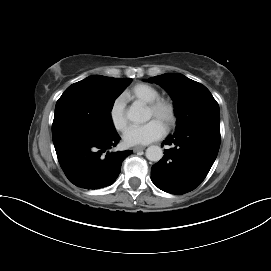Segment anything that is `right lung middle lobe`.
Listing matches in <instances>:
<instances>
[{
	"label": "right lung middle lobe",
	"instance_id": "right-lung-middle-lobe-1",
	"mask_svg": "<svg viewBox=\"0 0 271 271\" xmlns=\"http://www.w3.org/2000/svg\"><path fill=\"white\" fill-rule=\"evenodd\" d=\"M131 81L130 78L94 75L69 86L56 103L53 141L87 129L115 131L110 111L115 99Z\"/></svg>",
	"mask_w": 271,
	"mask_h": 271
}]
</instances>
